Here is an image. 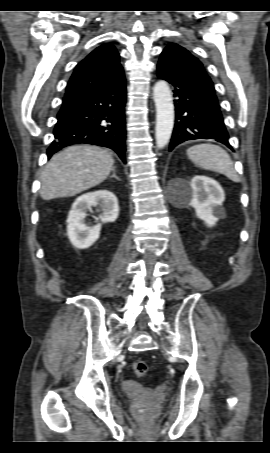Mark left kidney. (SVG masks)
<instances>
[{"mask_svg": "<svg viewBox=\"0 0 270 453\" xmlns=\"http://www.w3.org/2000/svg\"><path fill=\"white\" fill-rule=\"evenodd\" d=\"M184 204L195 209L196 215L208 227H212L225 215V194L220 184L209 177L196 175L189 185L179 190Z\"/></svg>", "mask_w": 270, "mask_h": 453, "instance_id": "1", "label": "left kidney"}]
</instances>
